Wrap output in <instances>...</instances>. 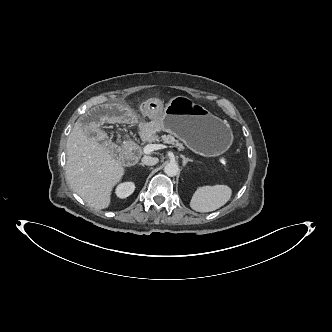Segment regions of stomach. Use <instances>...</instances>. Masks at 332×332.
Wrapping results in <instances>:
<instances>
[{"label": "stomach", "mask_w": 332, "mask_h": 332, "mask_svg": "<svg viewBox=\"0 0 332 332\" xmlns=\"http://www.w3.org/2000/svg\"><path fill=\"white\" fill-rule=\"evenodd\" d=\"M157 125L204 156H216L232 144L230 126L206 108L185 96H177L166 104Z\"/></svg>", "instance_id": "0dacf381"}]
</instances>
